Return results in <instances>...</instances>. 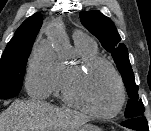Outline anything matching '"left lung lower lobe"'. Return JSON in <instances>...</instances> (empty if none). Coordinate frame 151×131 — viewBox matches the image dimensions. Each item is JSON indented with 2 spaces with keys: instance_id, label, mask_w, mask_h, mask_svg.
<instances>
[{
  "instance_id": "0a47b994",
  "label": "left lung lower lobe",
  "mask_w": 151,
  "mask_h": 131,
  "mask_svg": "<svg viewBox=\"0 0 151 131\" xmlns=\"http://www.w3.org/2000/svg\"><path fill=\"white\" fill-rule=\"evenodd\" d=\"M122 126L136 131H149L145 117H135L121 123Z\"/></svg>"
}]
</instances>
